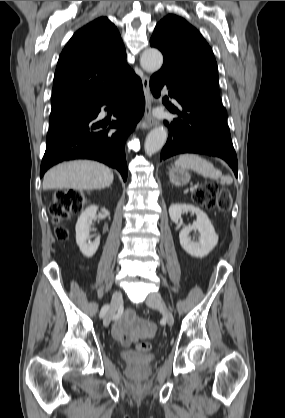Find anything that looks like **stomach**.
<instances>
[{"mask_svg": "<svg viewBox=\"0 0 285 418\" xmlns=\"http://www.w3.org/2000/svg\"><path fill=\"white\" fill-rule=\"evenodd\" d=\"M169 179L172 184L176 186H183L186 185L191 178V175L188 171V169H184L177 166H172L169 169Z\"/></svg>", "mask_w": 285, "mask_h": 418, "instance_id": "1", "label": "stomach"}]
</instances>
